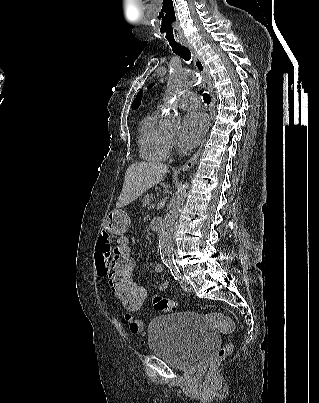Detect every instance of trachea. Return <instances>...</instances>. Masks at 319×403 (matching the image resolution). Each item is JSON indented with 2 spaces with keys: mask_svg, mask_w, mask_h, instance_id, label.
I'll return each instance as SVG.
<instances>
[{
  "mask_svg": "<svg viewBox=\"0 0 319 403\" xmlns=\"http://www.w3.org/2000/svg\"><path fill=\"white\" fill-rule=\"evenodd\" d=\"M161 30L165 34V38L169 42L173 52L176 55H179L185 61H190V59H191L190 50L188 48H186L185 46L180 45L175 39V32L172 27V21L170 20V21L163 22ZM203 100L206 104H209L211 102L210 95L207 93L203 94Z\"/></svg>",
  "mask_w": 319,
  "mask_h": 403,
  "instance_id": "obj_1",
  "label": "trachea"
}]
</instances>
